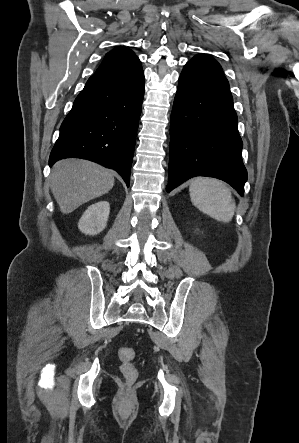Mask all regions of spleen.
<instances>
[{"mask_svg":"<svg viewBox=\"0 0 299 443\" xmlns=\"http://www.w3.org/2000/svg\"><path fill=\"white\" fill-rule=\"evenodd\" d=\"M190 197L193 204L202 212L221 221H231L235 203L230 189L221 181L196 178L191 182Z\"/></svg>","mask_w":299,"mask_h":443,"instance_id":"3e777b00","label":"spleen"}]
</instances>
